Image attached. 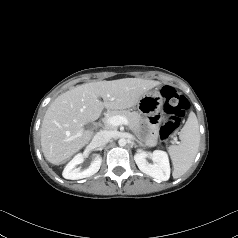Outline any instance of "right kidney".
<instances>
[{
  "label": "right kidney",
  "mask_w": 238,
  "mask_h": 238,
  "mask_svg": "<svg viewBox=\"0 0 238 238\" xmlns=\"http://www.w3.org/2000/svg\"><path fill=\"white\" fill-rule=\"evenodd\" d=\"M84 157L81 153L74 156V158L66 165L63 170V177L71 180H78L86 177H90L97 173L100 169L102 158L100 155L95 154L91 165L86 170L81 171L80 168H76L77 165L83 163Z\"/></svg>",
  "instance_id": "obj_1"
}]
</instances>
